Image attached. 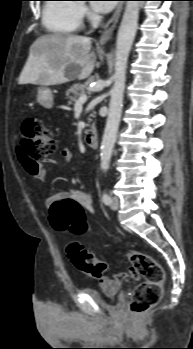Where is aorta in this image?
Masks as SVG:
<instances>
[{
    "instance_id": "762f6f07",
    "label": "aorta",
    "mask_w": 193,
    "mask_h": 349,
    "mask_svg": "<svg viewBox=\"0 0 193 349\" xmlns=\"http://www.w3.org/2000/svg\"><path fill=\"white\" fill-rule=\"evenodd\" d=\"M139 8L140 1H126L125 10L118 29L115 49V72L113 75L114 85L110 90L109 113L100 152L101 169L104 172L109 169L121 119L127 62L136 35Z\"/></svg>"
}]
</instances>
